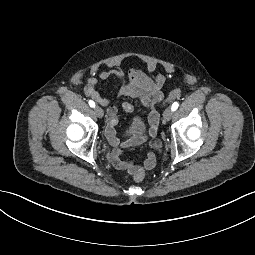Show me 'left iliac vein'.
Returning a JSON list of instances; mask_svg holds the SVG:
<instances>
[{
    "instance_id": "obj_1",
    "label": "left iliac vein",
    "mask_w": 255,
    "mask_h": 255,
    "mask_svg": "<svg viewBox=\"0 0 255 255\" xmlns=\"http://www.w3.org/2000/svg\"><path fill=\"white\" fill-rule=\"evenodd\" d=\"M172 115H173V110H172V108H167V109L164 111V114H163V119H164V121H170V119L172 118Z\"/></svg>"
}]
</instances>
